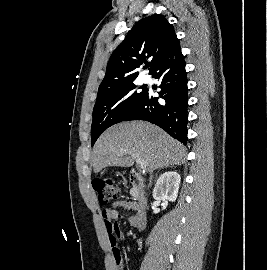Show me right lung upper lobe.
Returning a JSON list of instances; mask_svg holds the SVG:
<instances>
[{"label":"right lung upper lobe","mask_w":267,"mask_h":270,"mask_svg":"<svg viewBox=\"0 0 267 270\" xmlns=\"http://www.w3.org/2000/svg\"><path fill=\"white\" fill-rule=\"evenodd\" d=\"M179 40L173 26L163 15L154 14L138 21L111 55L98 91L134 81L135 70L150 59L152 74L160 61Z\"/></svg>","instance_id":"cb5924a9"}]
</instances>
